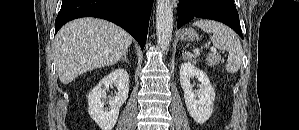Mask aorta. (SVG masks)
Instances as JSON below:
<instances>
[{
    "mask_svg": "<svg viewBox=\"0 0 299 130\" xmlns=\"http://www.w3.org/2000/svg\"><path fill=\"white\" fill-rule=\"evenodd\" d=\"M173 31V8L170 0H157L156 5V36L158 46L167 51Z\"/></svg>",
    "mask_w": 299,
    "mask_h": 130,
    "instance_id": "aorta-1",
    "label": "aorta"
}]
</instances>
